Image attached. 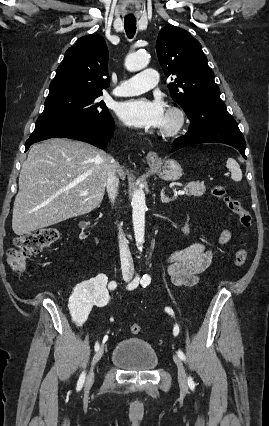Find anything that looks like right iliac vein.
Segmentation results:
<instances>
[{"mask_svg":"<svg viewBox=\"0 0 269 426\" xmlns=\"http://www.w3.org/2000/svg\"><path fill=\"white\" fill-rule=\"evenodd\" d=\"M125 280L128 281V278H126ZM103 353H104V346L102 345L93 357L91 369H90L89 373L87 374V377H86V380H85V389L86 390L90 389L93 382H94V371H93V369H94V366L96 365V363L103 356Z\"/></svg>","mask_w":269,"mask_h":426,"instance_id":"right-iliac-vein-1","label":"right iliac vein"}]
</instances>
